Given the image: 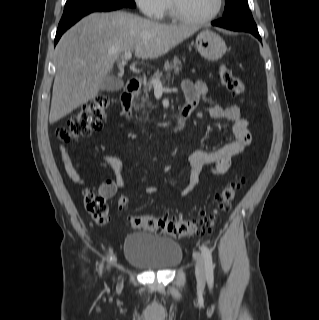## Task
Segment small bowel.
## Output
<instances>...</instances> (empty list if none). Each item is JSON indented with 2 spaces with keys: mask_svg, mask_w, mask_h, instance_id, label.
<instances>
[{
  "mask_svg": "<svg viewBox=\"0 0 319 320\" xmlns=\"http://www.w3.org/2000/svg\"><path fill=\"white\" fill-rule=\"evenodd\" d=\"M182 90L186 98V105L183 111L192 112L201 102H204L205 109L210 117L214 119H227L233 123L232 130L234 135V138L231 141L227 142L217 150H199L184 157L185 162L190 168V182L180 193V196L184 198L196 188L200 175L205 170H208L212 175L224 174L230 166L232 157L242 152L251 144L252 135L249 131V122L241 115V109L239 106L229 105L223 107L217 104L211 105L208 103V88L204 82H192L185 80L182 82ZM59 152L63 167L69 178L75 183L83 185L85 181L76 170L66 148L60 145ZM101 160L115 171L117 186L122 189L126 188L122 162L111 155H102ZM163 170L166 171L167 167H164ZM158 191V185L148 186L144 190L147 195H154ZM122 199L123 197H120L118 200V206L120 209L126 207L121 205Z\"/></svg>",
  "mask_w": 319,
  "mask_h": 320,
  "instance_id": "small-bowel-1",
  "label": "small bowel"
}]
</instances>
